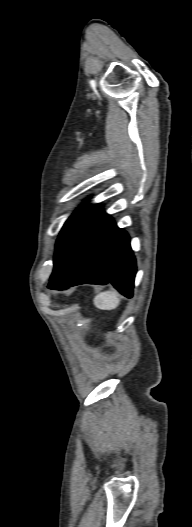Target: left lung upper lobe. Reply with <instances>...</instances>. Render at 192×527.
I'll return each instance as SVG.
<instances>
[{"mask_svg": "<svg viewBox=\"0 0 192 527\" xmlns=\"http://www.w3.org/2000/svg\"><path fill=\"white\" fill-rule=\"evenodd\" d=\"M97 209L96 205H86L74 212L69 219L65 222L59 238L56 243V251L54 256V263L64 251L67 244L81 228L85 221L93 214Z\"/></svg>", "mask_w": 192, "mask_h": 527, "instance_id": "obj_1", "label": "left lung upper lobe"}]
</instances>
